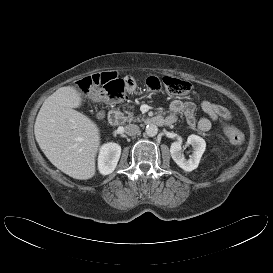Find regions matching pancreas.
I'll return each mask as SVG.
<instances>
[{"mask_svg": "<svg viewBox=\"0 0 273 273\" xmlns=\"http://www.w3.org/2000/svg\"><path fill=\"white\" fill-rule=\"evenodd\" d=\"M124 114H126V115H124ZM124 114L122 117L124 122L140 121V118H141L140 115L135 117L133 112L126 111V110L124 111ZM142 119H143V117H142Z\"/></svg>", "mask_w": 273, "mask_h": 273, "instance_id": "cf45deb5", "label": "pancreas"}]
</instances>
